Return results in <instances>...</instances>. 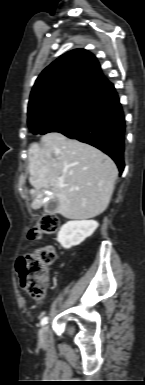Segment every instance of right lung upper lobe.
Instances as JSON below:
<instances>
[{"label": "right lung upper lobe", "instance_id": "1", "mask_svg": "<svg viewBox=\"0 0 145 385\" xmlns=\"http://www.w3.org/2000/svg\"><path fill=\"white\" fill-rule=\"evenodd\" d=\"M111 85L93 54L75 49L60 56L39 75L30 95L28 112L70 90L86 89L100 93Z\"/></svg>", "mask_w": 145, "mask_h": 385}]
</instances>
